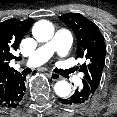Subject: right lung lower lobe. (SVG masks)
I'll list each match as a JSON object with an SVG mask.
<instances>
[{
  "mask_svg": "<svg viewBox=\"0 0 117 117\" xmlns=\"http://www.w3.org/2000/svg\"><path fill=\"white\" fill-rule=\"evenodd\" d=\"M24 80L25 78L20 75L11 81L4 93L0 95V106L15 108L21 103L26 91Z\"/></svg>",
  "mask_w": 117,
  "mask_h": 117,
  "instance_id": "right-lung-lower-lobe-1",
  "label": "right lung lower lobe"
}]
</instances>
